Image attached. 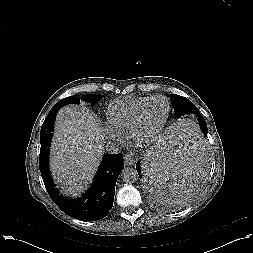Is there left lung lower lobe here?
I'll use <instances>...</instances> for the list:
<instances>
[{
	"label": "left lung lower lobe",
	"mask_w": 253,
	"mask_h": 253,
	"mask_svg": "<svg viewBox=\"0 0 253 253\" xmlns=\"http://www.w3.org/2000/svg\"><path fill=\"white\" fill-rule=\"evenodd\" d=\"M200 122H205L202 115ZM181 149L182 153L174 157L157 159V170L153 172H143L140 161L136 163L139 177L144 174L149 200L156 208L173 209L191 198L205 174L207 157L202 140L197 137L192 144Z\"/></svg>",
	"instance_id": "0a47b994"
}]
</instances>
